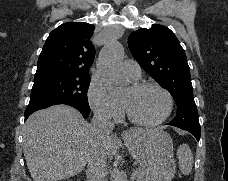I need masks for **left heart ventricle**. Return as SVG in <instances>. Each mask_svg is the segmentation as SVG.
<instances>
[{
    "label": "left heart ventricle",
    "mask_w": 228,
    "mask_h": 181,
    "mask_svg": "<svg viewBox=\"0 0 228 181\" xmlns=\"http://www.w3.org/2000/svg\"><path fill=\"white\" fill-rule=\"evenodd\" d=\"M120 75V74H119ZM129 83L127 77H122ZM124 101L132 113L142 120H153L161 115L165 106L163 95L155 88L146 87L141 90H132L130 84L123 94Z\"/></svg>",
    "instance_id": "b2bd125f"
}]
</instances>
